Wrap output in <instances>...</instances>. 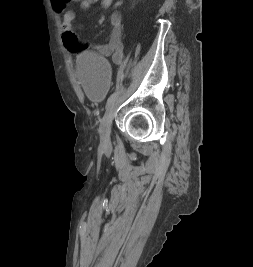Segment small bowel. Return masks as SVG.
Masks as SVG:
<instances>
[{
  "instance_id": "small-bowel-1",
  "label": "small bowel",
  "mask_w": 253,
  "mask_h": 267,
  "mask_svg": "<svg viewBox=\"0 0 253 267\" xmlns=\"http://www.w3.org/2000/svg\"><path fill=\"white\" fill-rule=\"evenodd\" d=\"M97 2H100L102 9H108L111 6L118 7L122 0H51L53 9L62 18L61 38L63 45L74 53L92 49L101 55L111 57L115 63L119 64L123 60L122 15L119 11H114L110 15L111 32L106 44L90 48L81 43L72 30L75 11L70 7V4L78 3L82 11H88Z\"/></svg>"
}]
</instances>
